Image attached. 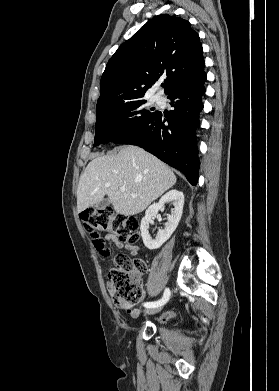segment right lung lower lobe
<instances>
[{"label": "right lung lower lobe", "instance_id": "98d812e1", "mask_svg": "<svg viewBox=\"0 0 279 391\" xmlns=\"http://www.w3.org/2000/svg\"><path fill=\"white\" fill-rule=\"evenodd\" d=\"M203 71L168 95L174 108L170 114L157 112L152 118L125 132L115 143L140 146L179 169L192 184L198 181L199 158L195 129L205 94Z\"/></svg>", "mask_w": 279, "mask_h": 391}]
</instances>
